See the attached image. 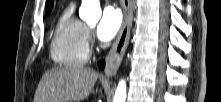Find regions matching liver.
<instances>
[{
  "label": "liver",
  "instance_id": "1",
  "mask_svg": "<svg viewBox=\"0 0 221 102\" xmlns=\"http://www.w3.org/2000/svg\"><path fill=\"white\" fill-rule=\"evenodd\" d=\"M97 78V72L90 68H54L45 72L40 80L34 102H80L88 98Z\"/></svg>",
  "mask_w": 221,
  "mask_h": 102
}]
</instances>
